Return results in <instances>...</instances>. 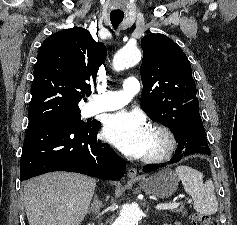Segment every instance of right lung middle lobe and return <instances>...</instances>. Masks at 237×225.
<instances>
[{"label": "right lung middle lobe", "mask_w": 237, "mask_h": 225, "mask_svg": "<svg viewBox=\"0 0 237 225\" xmlns=\"http://www.w3.org/2000/svg\"><path fill=\"white\" fill-rule=\"evenodd\" d=\"M47 120L66 123L77 128L87 127L95 123V122H83L80 117V111L74 112V113L57 115Z\"/></svg>", "instance_id": "1"}]
</instances>
